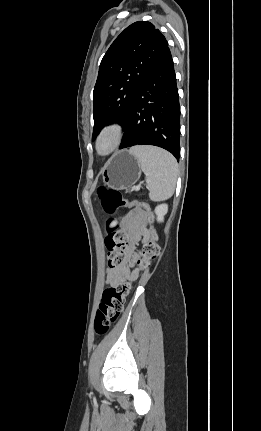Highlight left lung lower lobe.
Listing matches in <instances>:
<instances>
[{
	"label": "left lung lower lobe",
	"mask_w": 261,
	"mask_h": 431,
	"mask_svg": "<svg viewBox=\"0 0 261 431\" xmlns=\"http://www.w3.org/2000/svg\"><path fill=\"white\" fill-rule=\"evenodd\" d=\"M154 145L180 156V105L169 48L153 64L131 106L119 149Z\"/></svg>",
	"instance_id": "1"
}]
</instances>
